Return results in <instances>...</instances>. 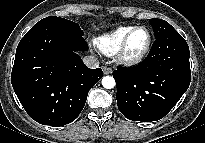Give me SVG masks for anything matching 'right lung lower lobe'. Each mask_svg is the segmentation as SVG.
<instances>
[{
  "label": "right lung lower lobe",
  "mask_w": 205,
  "mask_h": 143,
  "mask_svg": "<svg viewBox=\"0 0 205 143\" xmlns=\"http://www.w3.org/2000/svg\"><path fill=\"white\" fill-rule=\"evenodd\" d=\"M83 36L54 23H36L18 44L11 82L28 115L43 125L63 126L82 111L102 69L85 66Z\"/></svg>",
  "instance_id": "right-lung-lower-lobe-1"
}]
</instances>
